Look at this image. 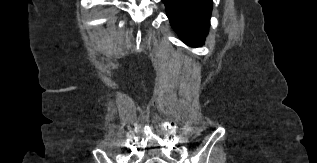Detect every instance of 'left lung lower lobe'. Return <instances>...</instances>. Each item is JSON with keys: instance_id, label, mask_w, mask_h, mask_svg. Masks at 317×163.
<instances>
[{"instance_id": "0a47b994", "label": "left lung lower lobe", "mask_w": 317, "mask_h": 163, "mask_svg": "<svg viewBox=\"0 0 317 163\" xmlns=\"http://www.w3.org/2000/svg\"><path fill=\"white\" fill-rule=\"evenodd\" d=\"M172 27L186 44L199 47L207 36L212 0H162Z\"/></svg>"}]
</instances>
